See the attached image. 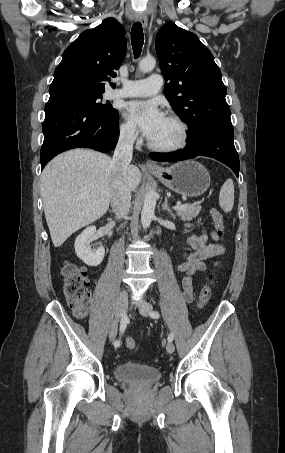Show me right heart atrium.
<instances>
[{
	"label": "right heart atrium",
	"instance_id": "1",
	"mask_svg": "<svg viewBox=\"0 0 285 453\" xmlns=\"http://www.w3.org/2000/svg\"><path fill=\"white\" fill-rule=\"evenodd\" d=\"M120 138L127 144H133L138 141V131L135 125L130 121H124L119 127Z\"/></svg>",
	"mask_w": 285,
	"mask_h": 453
}]
</instances>
